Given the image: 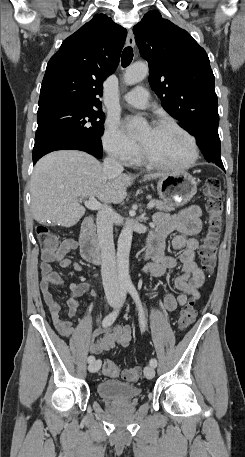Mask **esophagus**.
Returning a JSON list of instances; mask_svg holds the SVG:
<instances>
[{"mask_svg":"<svg viewBox=\"0 0 245 457\" xmlns=\"http://www.w3.org/2000/svg\"><path fill=\"white\" fill-rule=\"evenodd\" d=\"M126 43H127V45H129V47H134V45H135L134 34H133L132 30H129V32L127 34Z\"/></svg>","mask_w":245,"mask_h":457,"instance_id":"obj_1","label":"esophagus"}]
</instances>
